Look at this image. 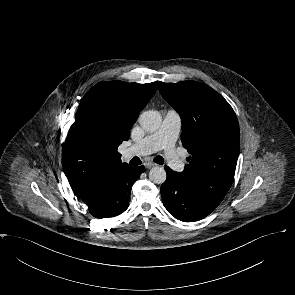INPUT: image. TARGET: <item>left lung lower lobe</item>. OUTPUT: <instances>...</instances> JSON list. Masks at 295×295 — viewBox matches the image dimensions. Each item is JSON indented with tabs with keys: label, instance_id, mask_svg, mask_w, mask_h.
Here are the masks:
<instances>
[{
	"label": "left lung lower lobe",
	"instance_id": "0a47b994",
	"mask_svg": "<svg viewBox=\"0 0 295 295\" xmlns=\"http://www.w3.org/2000/svg\"><path fill=\"white\" fill-rule=\"evenodd\" d=\"M166 181L161 185L160 192L165 208L176 219L184 222H194L208 216L216 206L199 196L181 175L169 167Z\"/></svg>",
	"mask_w": 295,
	"mask_h": 295
}]
</instances>
